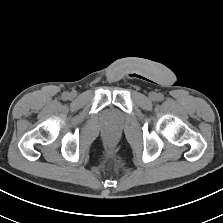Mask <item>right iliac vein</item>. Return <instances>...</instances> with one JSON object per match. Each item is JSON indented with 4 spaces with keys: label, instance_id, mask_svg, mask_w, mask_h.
Instances as JSON below:
<instances>
[{
    "label": "right iliac vein",
    "instance_id": "obj_1",
    "mask_svg": "<svg viewBox=\"0 0 223 223\" xmlns=\"http://www.w3.org/2000/svg\"><path fill=\"white\" fill-rule=\"evenodd\" d=\"M74 96H75V93H72V94H71V97H74Z\"/></svg>",
    "mask_w": 223,
    "mask_h": 223
}]
</instances>
